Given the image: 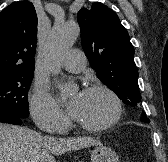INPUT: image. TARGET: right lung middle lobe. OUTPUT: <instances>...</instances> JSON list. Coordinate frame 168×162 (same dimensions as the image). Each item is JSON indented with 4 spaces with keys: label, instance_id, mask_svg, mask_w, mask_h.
Returning a JSON list of instances; mask_svg holds the SVG:
<instances>
[{
    "label": "right lung middle lobe",
    "instance_id": "1",
    "mask_svg": "<svg viewBox=\"0 0 168 162\" xmlns=\"http://www.w3.org/2000/svg\"><path fill=\"white\" fill-rule=\"evenodd\" d=\"M33 75L34 71H29L0 78V114L28 117V91Z\"/></svg>",
    "mask_w": 168,
    "mask_h": 162
}]
</instances>
